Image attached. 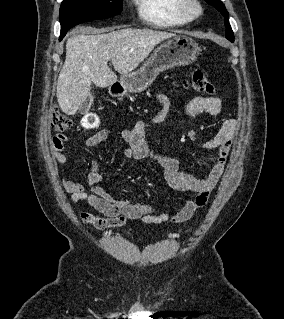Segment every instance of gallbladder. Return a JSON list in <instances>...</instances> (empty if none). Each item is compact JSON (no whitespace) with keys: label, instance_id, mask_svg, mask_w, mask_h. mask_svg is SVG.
<instances>
[{"label":"gallbladder","instance_id":"gallbladder-1","mask_svg":"<svg viewBox=\"0 0 284 319\" xmlns=\"http://www.w3.org/2000/svg\"><path fill=\"white\" fill-rule=\"evenodd\" d=\"M93 102V97L90 95L84 102H83V107L84 108H89Z\"/></svg>","mask_w":284,"mask_h":319}]
</instances>
